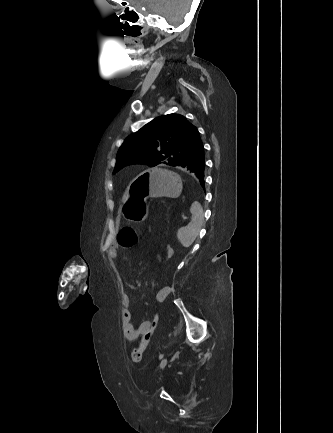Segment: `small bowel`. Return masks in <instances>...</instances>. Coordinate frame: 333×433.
<instances>
[{"instance_id": "small-bowel-1", "label": "small bowel", "mask_w": 333, "mask_h": 433, "mask_svg": "<svg viewBox=\"0 0 333 433\" xmlns=\"http://www.w3.org/2000/svg\"><path fill=\"white\" fill-rule=\"evenodd\" d=\"M109 258L117 262L118 261V251L115 245L111 246L108 251ZM156 262L161 265L162 261L158 255L155 256ZM170 287L164 286L161 287L156 294V301L158 303L164 302L170 294ZM122 301V312H121V321H122V329L125 339L128 342H135L141 336L148 332H153L150 330V321H144L138 326H134L132 323V313H131V298L127 293H124L121 297Z\"/></svg>"}]
</instances>
